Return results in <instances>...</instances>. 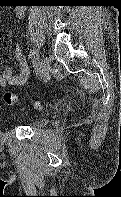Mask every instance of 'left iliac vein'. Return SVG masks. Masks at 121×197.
<instances>
[{
	"label": "left iliac vein",
	"instance_id": "4c4485c4",
	"mask_svg": "<svg viewBox=\"0 0 121 197\" xmlns=\"http://www.w3.org/2000/svg\"><path fill=\"white\" fill-rule=\"evenodd\" d=\"M51 67V58L50 57H43L38 68H37V75L39 79L46 77L49 73Z\"/></svg>",
	"mask_w": 121,
	"mask_h": 197
}]
</instances>
